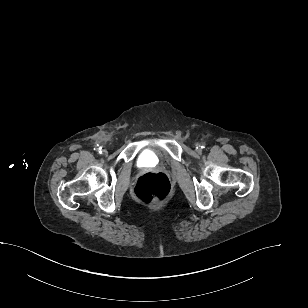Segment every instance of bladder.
I'll list each match as a JSON object with an SVG mask.
<instances>
[{
	"label": "bladder",
	"mask_w": 308,
	"mask_h": 308,
	"mask_svg": "<svg viewBox=\"0 0 308 308\" xmlns=\"http://www.w3.org/2000/svg\"><path fill=\"white\" fill-rule=\"evenodd\" d=\"M160 161L158 153L154 150L144 151L139 158V162L142 165H148L150 163L157 164Z\"/></svg>",
	"instance_id": "1"
}]
</instances>
